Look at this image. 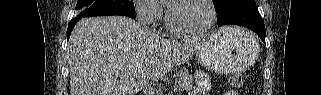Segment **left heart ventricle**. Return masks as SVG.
Listing matches in <instances>:
<instances>
[{"instance_id": "obj_1", "label": "left heart ventricle", "mask_w": 321, "mask_h": 95, "mask_svg": "<svg viewBox=\"0 0 321 95\" xmlns=\"http://www.w3.org/2000/svg\"><path fill=\"white\" fill-rule=\"evenodd\" d=\"M174 25L183 30L203 29L209 21V8L201 0H190L171 8Z\"/></svg>"}]
</instances>
